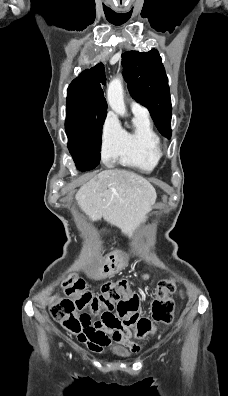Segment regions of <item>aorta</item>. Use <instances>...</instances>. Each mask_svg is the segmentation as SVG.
<instances>
[{
	"instance_id": "obj_1",
	"label": "aorta",
	"mask_w": 228,
	"mask_h": 396,
	"mask_svg": "<svg viewBox=\"0 0 228 396\" xmlns=\"http://www.w3.org/2000/svg\"><path fill=\"white\" fill-rule=\"evenodd\" d=\"M107 101L111 109L121 115H126V107L124 103V92L122 81L120 78L113 79L107 89Z\"/></svg>"
}]
</instances>
